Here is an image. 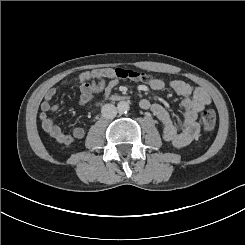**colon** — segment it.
Segmentation results:
<instances>
[{"mask_svg": "<svg viewBox=\"0 0 245 245\" xmlns=\"http://www.w3.org/2000/svg\"><path fill=\"white\" fill-rule=\"evenodd\" d=\"M114 75L119 79H129L133 81L150 82L152 80L150 75L132 69L117 68L114 69ZM200 123L204 131H212L216 125L215 112L213 110H205L200 117Z\"/></svg>", "mask_w": 245, "mask_h": 245, "instance_id": "obj_1", "label": "colon"}]
</instances>
